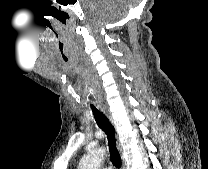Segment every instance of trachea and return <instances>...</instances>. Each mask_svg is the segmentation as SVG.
Listing matches in <instances>:
<instances>
[{
	"label": "trachea",
	"mask_w": 208,
	"mask_h": 169,
	"mask_svg": "<svg viewBox=\"0 0 208 169\" xmlns=\"http://www.w3.org/2000/svg\"><path fill=\"white\" fill-rule=\"evenodd\" d=\"M91 109L93 111V115L97 125L105 132L108 139V146L110 152V159L113 165L119 169L121 166V158L119 152L116 148V139H115V129L112 126L111 122L108 118L99 110L96 109L95 106L91 105Z\"/></svg>",
	"instance_id": "1"
}]
</instances>
